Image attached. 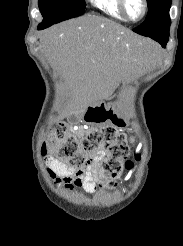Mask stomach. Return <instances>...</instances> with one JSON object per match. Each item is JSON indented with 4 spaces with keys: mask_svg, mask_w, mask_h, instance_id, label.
<instances>
[{
    "mask_svg": "<svg viewBox=\"0 0 183 246\" xmlns=\"http://www.w3.org/2000/svg\"><path fill=\"white\" fill-rule=\"evenodd\" d=\"M100 114L103 122L110 123L115 127H124L126 125L125 118L119 113L116 104L110 103L105 106L102 110H100Z\"/></svg>",
    "mask_w": 183,
    "mask_h": 246,
    "instance_id": "1",
    "label": "stomach"
}]
</instances>
